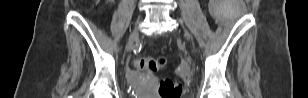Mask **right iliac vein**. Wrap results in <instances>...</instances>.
Here are the masks:
<instances>
[{"label": "right iliac vein", "instance_id": "1", "mask_svg": "<svg viewBox=\"0 0 308 98\" xmlns=\"http://www.w3.org/2000/svg\"><path fill=\"white\" fill-rule=\"evenodd\" d=\"M137 36H138V30H137V27H135V29L133 30V32H132V34H131V36L129 38V42H128V45H127V50H129L132 47L133 42L137 38Z\"/></svg>", "mask_w": 308, "mask_h": 98}]
</instances>
